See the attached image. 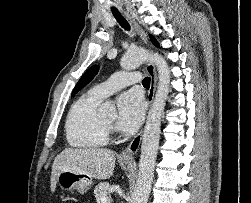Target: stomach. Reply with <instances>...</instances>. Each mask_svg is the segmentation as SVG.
I'll return each mask as SVG.
<instances>
[{"label": "stomach", "mask_w": 251, "mask_h": 203, "mask_svg": "<svg viewBox=\"0 0 251 203\" xmlns=\"http://www.w3.org/2000/svg\"><path fill=\"white\" fill-rule=\"evenodd\" d=\"M130 161H121V164H130ZM58 186L67 192L74 190L81 194L87 192L93 183V178L87 174L62 171L57 178Z\"/></svg>", "instance_id": "stomach-1"}]
</instances>
